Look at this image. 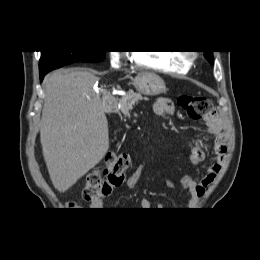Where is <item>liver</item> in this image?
Segmentation results:
<instances>
[{"mask_svg":"<svg viewBox=\"0 0 260 260\" xmlns=\"http://www.w3.org/2000/svg\"><path fill=\"white\" fill-rule=\"evenodd\" d=\"M99 77L87 70H55L44 79L40 142L53 186L71 188L109 149L104 102L94 87Z\"/></svg>","mask_w":260,"mask_h":260,"instance_id":"liver-1","label":"liver"}]
</instances>
